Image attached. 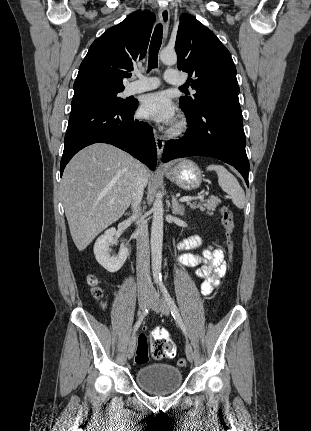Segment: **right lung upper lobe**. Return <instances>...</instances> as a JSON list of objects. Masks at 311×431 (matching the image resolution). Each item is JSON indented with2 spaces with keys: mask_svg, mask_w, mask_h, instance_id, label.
Returning <instances> with one entry per match:
<instances>
[{
  "mask_svg": "<svg viewBox=\"0 0 311 431\" xmlns=\"http://www.w3.org/2000/svg\"><path fill=\"white\" fill-rule=\"evenodd\" d=\"M155 15L136 11L96 39L82 61L74 82V94L91 91H123V79L131 75L133 62L145 57Z\"/></svg>",
  "mask_w": 311,
  "mask_h": 431,
  "instance_id": "right-lung-upper-lobe-1",
  "label": "right lung upper lobe"
}]
</instances>
